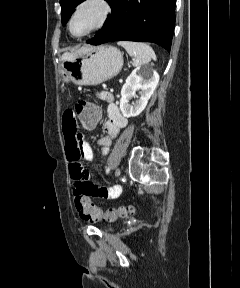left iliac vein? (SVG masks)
<instances>
[{"mask_svg": "<svg viewBox=\"0 0 240 288\" xmlns=\"http://www.w3.org/2000/svg\"><path fill=\"white\" fill-rule=\"evenodd\" d=\"M120 175H121V171H120L119 168H117L116 171H115V176L119 177Z\"/></svg>", "mask_w": 240, "mask_h": 288, "instance_id": "left-iliac-vein-1", "label": "left iliac vein"}]
</instances>
